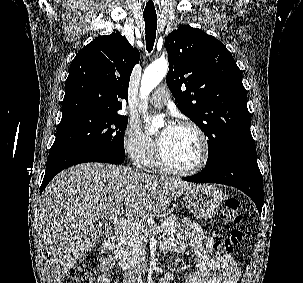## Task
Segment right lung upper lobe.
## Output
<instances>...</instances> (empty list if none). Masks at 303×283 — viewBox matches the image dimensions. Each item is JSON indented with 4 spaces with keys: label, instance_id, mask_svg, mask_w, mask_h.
<instances>
[{
    "label": "right lung upper lobe",
    "instance_id": "cb5924a9",
    "mask_svg": "<svg viewBox=\"0 0 303 283\" xmlns=\"http://www.w3.org/2000/svg\"><path fill=\"white\" fill-rule=\"evenodd\" d=\"M140 53L119 33L100 36L73 59L65 82L62 117L80 112L119 115Z\"/></svg>",
    "mask_w": 303,
    "mask_h": 283
}]
</instances>
